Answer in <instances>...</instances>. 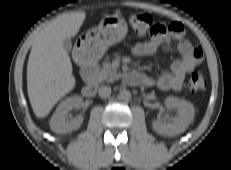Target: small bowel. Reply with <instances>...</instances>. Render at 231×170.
I'll return each mask as SVG.
<instances>
[{
  "label": "small bowel",
  "instance_id": "small-bowel-1",
  "mask_svg": "<svg viewBox=\"0 0 231 170\" xmlns=\"http://www.w3.org/2000/svg\"><path fill=\"white\" fill-rule=\"evenodd\" d=\"M173 41H177L176 48L180 58L172 61L170 71L162 73L156 79L145 74L134 73L132 79L146 86H156L160 90H180L186 75L200 64L203 57L202 49L193 46L184 38V27L180 22L170 23L162 36H152L137 43L132 52L136 56H152L160 46L169 45Z\"/></svg>",
  "mask_w": 231,
  "mask_h": 170
}]
</instances>
